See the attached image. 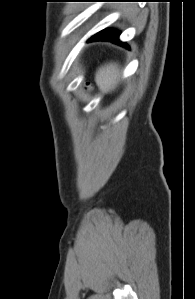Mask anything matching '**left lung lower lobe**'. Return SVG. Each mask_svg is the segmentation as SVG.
Masks as SVG:
<instances>
[{"label": "left lung lower lobe", "instance_id": "left-lung-lower-lobe-1", "mask_svg": "<svg viewBox=\"0 0 195 299\" xmlns=\"http://www.w3.org/2000/svg\"><path fill=\"white\" fill-rule=\"evenodd\" d=\"M119 35L120 32L113 29H105L100 31L99 33L95 34L93 37L89 39L90 42L92 41H110V42H116L117 44L123 45L127 48L129 46L126 43H122L119 41Z\"/></svg>", "mask_w": 195, "mask_h": 299}]
</instances>
